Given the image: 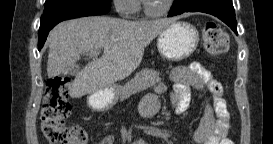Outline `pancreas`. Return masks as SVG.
I'll return each instance as SVG.
<instances>
[{"instance_id": "pancreas-1", "label": "pancreas", "mask_w": 273, "mask_h": 144, "mask_svg": "<svg viewBox=\"0 0 273 144\" xmlns=\"http://www.w3.org/2000/svg\"><path fill=\"white\" fill-rule=\"evenodd\" d=\"M160 81L159 72L152 69H143L136 73L133 79L120 88L119 97L121 100L127 99L130 95L153 87Z\"/></svg>"}]
</instances>
